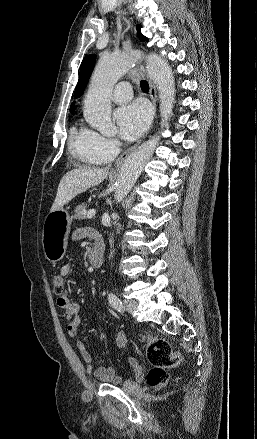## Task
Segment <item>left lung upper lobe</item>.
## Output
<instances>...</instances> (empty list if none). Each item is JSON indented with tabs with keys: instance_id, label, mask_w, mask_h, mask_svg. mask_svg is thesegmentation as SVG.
I'll return each mask as SVG.
<instances>
[{
	"instance_id": "5c2ea615",
	"label": "left lung upper lobe",
	"mask_w": 257,
	"mask_h": 439,
	"mask_svg": "<svg viewBox=\"0 0 257 439\" xmlns=\"http://www.w3.org/2000/svg\"><path fill=\"white\" fill-rule=\"evenodd\" d=\"M140 28L141 26L137 25L138 37L140 38L141 41H147V38H145L141 34ZM95 59H96L95 55H88L83 59L79 73V80L74 94L75 98L80 97L83 94L84 88L86 87L89 77L94 68Z\"/></svg>"
}]
</instances>
